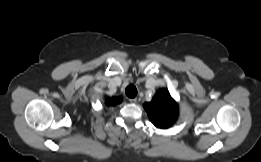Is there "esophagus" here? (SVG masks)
<instances>
[{
    "label": "esophagus",
    "mask_w": 261,
    "mask_h": 162,
    "mask_svg": "<svg viewBox=\"0 0 261 162\" xmlns=\"http://www.w3.org/2000/svg\"><path fill=\"white\" fill-rule=\"evenodd\" d=\"M129 102H130V103H136V102H137V99H136V98H130V99H129Z\"/></svg>",
    "instance_id": "esophagus-1"
}]
</instances>
